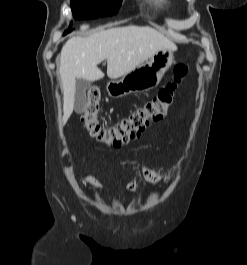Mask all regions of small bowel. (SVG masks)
Segmentation results:
<instances>
[{
    "mask_svg": "<svg viewBox=\"0 0 247 265\" xmlns=\"http://www.w3.org/2000/svg\"><path fill=\"white\" fill-rule=\"evenodd\" d=\"M143 170H144L145 179L148 182L153 183V184H158V183L162 182V177L156 171H154L151 167L147 166V164H144ZM83 181L85 184H87L93 188H96L98 190L103 191L106 195H108L110 197H112L114 195L111 190L104 188L102 186V184L91 175H84ZM128 189L132 192H136L137 182L135 180H132L128 184Z\"/></svg>",
    "mask_w": 247,
    "mask_h": 265,
    "instance_id": "c3829d8e",
    "label": "small bowel"
}]
</instances>
